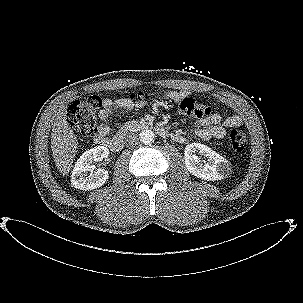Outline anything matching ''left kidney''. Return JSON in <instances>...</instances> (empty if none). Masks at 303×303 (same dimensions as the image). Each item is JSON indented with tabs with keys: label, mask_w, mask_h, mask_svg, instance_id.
Returning a JSON list of instances; mask_svg holds the SVG:
<instances>
[{
	"label": "left kidney",
	"mask_w": 303,
	"mask_h": 303,
	"mask_svg": "<svg viewBox=\"0 0 303 303\" xmlns=\"http://www.w3.org/2000/svg\"><path fill=\"white\" fill-rule=\"evenodd\" d=\"M196 152L207 158L208 162L204 161L202 163L200 158L195 155ZM184 159L187 170L204 180H221L229 173V162L223 156L201 143L186 145Z\"/></svg>",
	"instance_id": "left-kidney-1"
}]
</instances>
